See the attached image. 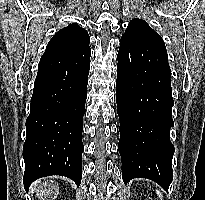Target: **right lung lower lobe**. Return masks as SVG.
<instances>
[{
    "label": "right lung lower lobe",
    "instance_id": "1",
    "mask_svg": "<svg viewBox=\"0 0 205 200\" xmlns=\"http://www.w3.org/2000/svg\"><path fill=\"white\" fill-rule=\"evenodd\" d=\"M90 56L89 47L78 53L41 57L23 146L26 190L36 179L50 175L81 183Z\"/></svg>",
    "mask_w": 205,
    "mask_h": 200
}]
</instances>
